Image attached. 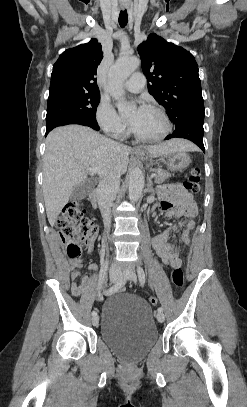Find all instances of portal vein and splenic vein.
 Listing matches in <instances>:
<instances>
[{"label": "portal vein and splenic vein", "mask_w": 247, "mask_h": 407, "mask_svg": "<svg viewBox=\"0 0 247 407\" xmlns=\"http://www.w3.org/2000/svg\"><path fill=\"white\" fill-rule=\"evenodd\" d=\"M89 172H90L91 175H94V174H103V173H104V171H102V170H100V169H92V168L89 169ZM155 176H156L155 173H152V174H151V178H153V177H155Z\"/></svg>", "instance_id": "portal-vein-and-splenic-vein-1"}]
</instances>
